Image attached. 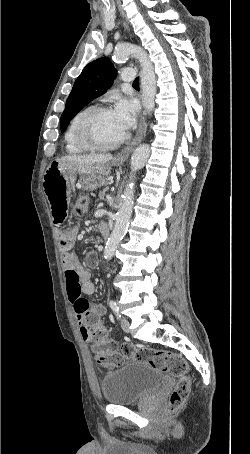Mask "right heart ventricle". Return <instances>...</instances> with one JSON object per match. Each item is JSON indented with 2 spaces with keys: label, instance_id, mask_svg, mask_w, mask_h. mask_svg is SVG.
Returning <instances> with one entry per match:
<instances>
[{
  "label": "right heart ventricle",
  "instance_id": "e07e8e85",
  "mask_svg": "<svg viewBox=\"0 0 250 454\" xmlns=\"http://www.w3.org/2000/svg\"><path fill=\"white\" fill-rule=\"evenodd\" d=\"M90 108H85L80 110L78 113L74 115L72 120L70 121L65 134H64V142H65V149L68 153L71 154H79L82 152L87 151L86 148L82 147L79 145L76 141L75 138V131H76V126L79 121V119L82 117V115L88 111Z\"/></svg>",
  "mask_w": 250,
  "mask_h": 454
}]
</instances>
